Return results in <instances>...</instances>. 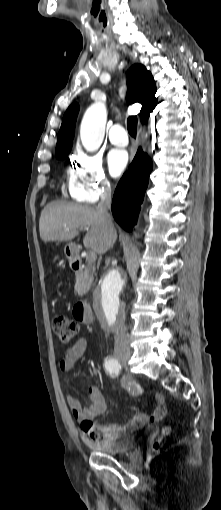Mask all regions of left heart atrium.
Here are the masks:
<instances>
[{"label":"left heart atrium","mask_w":221,"mask_h":510,"mask_svg":"<svg viewBox=\"0 0 221 510\" xmlns=\"http://www.w3.org/2000/svg\"><path fill=\"white\" fill-rule=\"evenodd\" d=\"M128 156L123 150H111L108 155V165L113 176H119L127 167Z\"/></svg>","instance_id":"left-heart-atrium-1"}]
</instances>
